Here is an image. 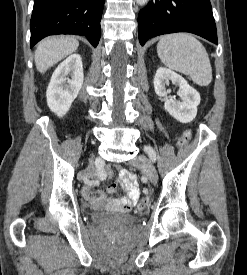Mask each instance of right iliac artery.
I'll list each match as a JSON object with an SVG mask.
<instances>
[{
    "label": "right iliac artery",
    "instance_id": "1",
    "mask_svg": "<svg viewBox=\"0 0 247 275\" xmlns=\"http://www.w3.org/2000/svg\"><path fill=\"white\" fill-rule=\"evenodd\" d=\"M95 168L97 169L96 180H107L106 165L104 160L99 157L95 160Z\"/></svg>",
    "mask_w": 247,
    "mask_h": 275
}]
</instances>
